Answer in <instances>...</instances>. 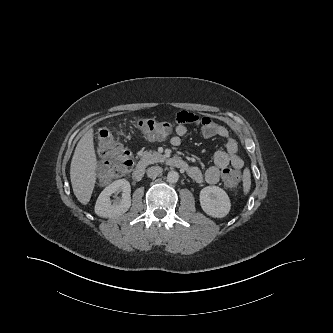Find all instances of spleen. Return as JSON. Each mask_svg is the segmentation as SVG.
Listing matches in <instances>:
<instances>
[{"label":"spleen","instance_id":"3e777b00","mask_svg":"<svg viewBox=\"0 0 333 333\" xmlns=\"http://www.w3.org/2000/svg\"><path fill=\"white\" fill-rule=\"evenodd\" d=\"M251 185V180H250V173L246 171L244 173V179H243V187H244V193L247 194L249 192Z\"/></svg>","mask_w":333,"mask_h":333}]
</instances>
